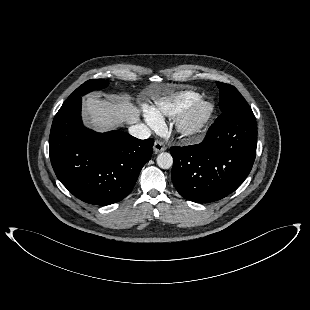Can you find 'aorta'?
Here are the masks:
<instances>
[{
  "instance_id": "obj_1",
  "label": "aorta",
  "mask_w": 310,
  "mask_h": 310,
  "mask_svg": "<svg viewBox=\"0 0 310 310\" xmlns=\"http://www.w3.org/2000/svg\"><path fill=\"white\" fill-rule=\"evenodd\" d=\"M157 165L162 169H169L173 165V158L170 153L162 152L157 156Z\"/></svg>"
}]
</instances>
